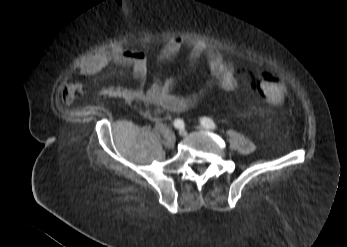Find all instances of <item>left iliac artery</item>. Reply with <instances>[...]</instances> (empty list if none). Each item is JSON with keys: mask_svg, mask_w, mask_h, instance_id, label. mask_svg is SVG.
<instances>
[{"mask_svg": "<svg viewBox=\"0 0 347 247\" xmlns=\"http://www.w3.org/2000/svg\"><path fill=\"white\" fill-rule=\"evenodd\" d=\"M201 124H202L205 128H207V129H212V130H214V129L217 128V126H216V124L214 123V121H213L212 119L208 118V117H203V118L201 119Z\"/></svg>", "mask_w": 347, "mask_h": 247, "instance_id": "obj_1", "label": "left iliac artery"}]
</instances>
